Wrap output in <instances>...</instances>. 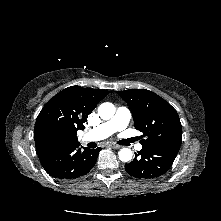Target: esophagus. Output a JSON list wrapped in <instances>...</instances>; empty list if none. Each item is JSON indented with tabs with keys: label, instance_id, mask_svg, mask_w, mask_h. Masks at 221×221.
Segmentation results:
<instances>
[{
	"label": "esophagus",
	"instance_id": "obj_1",
	"mask_svg": "<svg viewBox=\"0 0 221 221\" xmlns=\"http://www.w3.org/2000/svg\"><path fill=\"white\" fill-rule=\"evenodd\" d=\"M109 147H111V148H113V149H119V148H121L120 145H117V144H114V143H110V144H109Z\"/></svg>",
	"mask_w": 221,
	"mask_h": 221
}]
</instances>
